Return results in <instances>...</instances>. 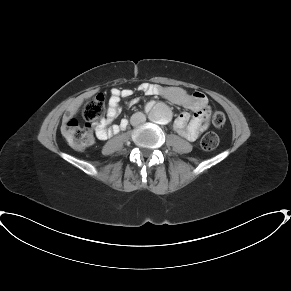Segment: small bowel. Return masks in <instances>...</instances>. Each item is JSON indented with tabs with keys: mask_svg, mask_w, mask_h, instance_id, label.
<instances>
[{
	"mask_svg": "<svg viewBox=\"0 0 291 291\" xmlns=\"http://www.w3.org/2000/svg\"><path fill=\"white\" fill-rule=\"evenodd\" d=\"M138 89L146 95L161 96L174 104L194 112L192 116L188 112H182L173 122V129L187 140L194 141L208 130V105L206 104V96L202 92L189 94L181 87H162L152 83H141ZM132 94L133 92L130 89L113 88L110 91L107 119L94 125L95 134L99 140H106L126 128L127 120H122L119 124L109 125V123L120 112V99L129 98ZM135 102L132 101V103Z\"/></svg>",
	"mask_w": 291,
	"mask_h": 291,
	"instance_id": "obj_1",
	"label": "small bowel"
}]
</instances>
